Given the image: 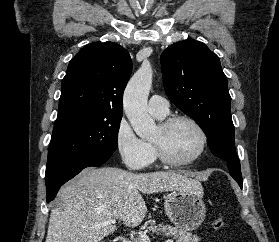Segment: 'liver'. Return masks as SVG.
<instances>
[{
  "mask_svg": "<svg viewBox=\"0 0 279 242\" xmlns=\"http://www.w3.org/2000/svg\"><path fill=\"white\" fill-rule=\"evenodd\" d=\"M198 181L173 171L132 173L113 167L86 168L60 190L61 206L51 210L45 242H100L117 230L110 219L136 227L147 207L141 195L199 190Z\"/></svg>",
  "mask_w": 279,
  "mask_h": 242,
  "instance_id": "obj_1",
  "label": "liver"
}]
</instances>
